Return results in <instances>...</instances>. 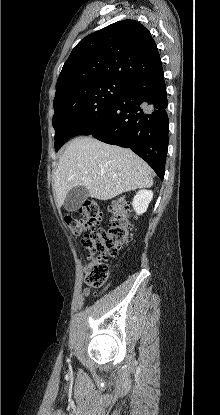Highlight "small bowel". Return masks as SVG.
Segmentation results:
<instances>
[{
    "label": "small bowel",
    "instance_id": "small-bowel-1",
    "mask_svg": "<svg viewBox=\"0 0 220 415\" xmlns=\"http://www.w3.org/2000/svg\"><path fill=\"white\" fill-rule=\"evenodd\" d=\"M89 294L88 290H84V295L87 296Z\"/></svg>",
    "mask_w": 220,
    "mask_h": 415
}]
</instances>
